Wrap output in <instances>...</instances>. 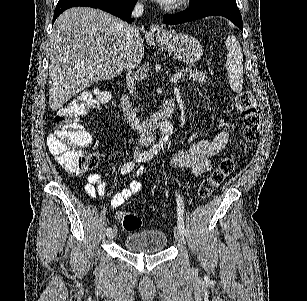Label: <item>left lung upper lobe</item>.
I'll return each mask as SVG.
<instances>
[{"mask_svg": "<svg viewBox=\"0 0 307 301\" xmlns=\"http://www.w3.org/2000/svg\"><path fill=\"white\" fill-rule=\"evenodd\" d=\"M212 2H221V3H226V4L237 6L235 0H192V3L190 6H198V5L212 3Z\"/></svg>", "mask_w": 307, "mask_h": 301, "instance_id": "5c2ea615", "label": "left lung upper lobe"}]
</instances>
